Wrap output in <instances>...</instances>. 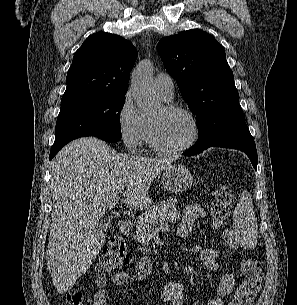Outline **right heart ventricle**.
<instances>
[{
	"label": "right heart ventricle",
	"mask_w": 297,
	"mask_h": 305,
	"mask_svg": "<svg viewBox=\"0 0 297 305\" xmlns=\"http://www.w3.org/2000/svg\"><path fill=\"white\" fill-rule=\"evenodd\" d=\"M148 138H149V124L147 122V132H146V136H145V141H148Z\"/></svg>",
	"instance_id": "obj_1"
}]
</instances>
